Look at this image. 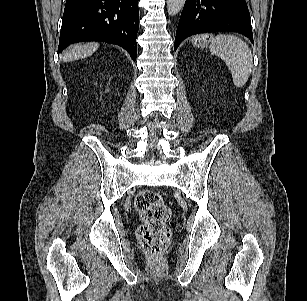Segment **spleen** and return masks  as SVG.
Masks as SVG:
<instances>
[{
	"label": "spleen",
	"mask_w": 307,
	"mask_h": 301,
	"mask_svg": "<svg viewBox=\"0 0 307 301\" xmlns=\"http://www.w3.org/2000/svg\"><path fill=\"white\" fill-rule=\"evenodd\" d=\"M210 51L225 61L232 74L236 87H242L247 82L253 65L249 46L239 37L220 34L210 41Z\"/></svg>",
	"instance_id": "obj_1"
}]
</instances>
